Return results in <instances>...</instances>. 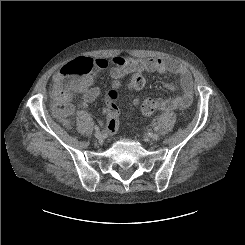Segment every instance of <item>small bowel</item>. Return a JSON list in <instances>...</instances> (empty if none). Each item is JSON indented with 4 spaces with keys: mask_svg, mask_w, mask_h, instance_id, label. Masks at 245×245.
Wrapping results in <instances>:
<instances>
[{
    "mask_svg": "<svg viewBox=\"0 0 245 245\" xmlns=\"http://www.w3.org/2000/svg\"><path fill=\"white\" fill-rule=\"evenodd\" d=\"M95 64L99 70H107L109 63L105 59H95ZM111 76L114 79L122 78L123 76L135 72H160L171 73L179 76L181 94L166 98L156 99V110L169 111L175 108L188 107L193 100V80L189 71L181 64L162 57L148 58V59H133L130 57H124L122 55H116L111 58ZM60 68L54 75V81L61 75ZM82 94L81 101L83 104H88L95 101L101 91L99 87L91 86V82L80 90ZM109 117L118 118V112L115 109Z\"/></svg>",
    "mask_w": 245,
    "mask_h": 245,
    "instance_id": "obj_1",
    "label": "small bowel"
}]
</instances>
